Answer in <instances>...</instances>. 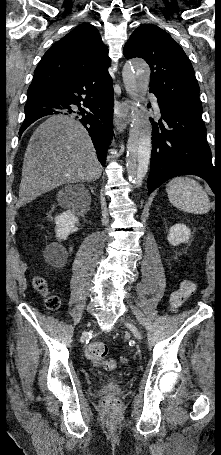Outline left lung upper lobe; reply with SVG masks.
Listing matches in <instances>:
<instances>
[{"label": "left lung upper lobe", "mask_w": 221, "mask_h": 455, "mask_svg": "<svg viewBox=\"0 0 221 455\" xmlns=\"http://www.w3.org/2000/svg\"><path fill=\"white\" fill-rule=\"evenodd\" d=\"M127 59L140 57L150 66L149 91L164 101L202 115L199 85L183 49L156 25L143 24L124 47Z\"/></svg>", "instance_id": "1"}]
</instances>
